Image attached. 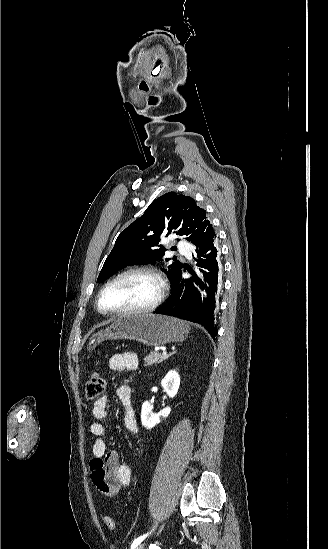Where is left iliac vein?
Instances as JSON below:
<instances>
[{
    "label": "left iliac vein",
    "mask_w": 328,
    "mask_h": 549,
    "mask_svg": "<svg viewBox=\"0 0 328 549\" xmlns=\"http://www.w3.org/2000/svg\"><path fill=\"white\" fill-rule=\"evenodd\" d=\"M135 549H143V544L136 546Z\"/></svg>",
    "instance_id": "4c4485c4"
}]
</instances>
